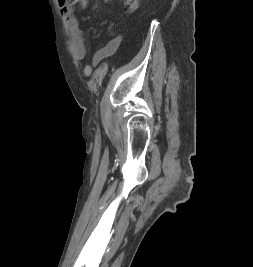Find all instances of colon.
<instances>
[{"mask_svg":"<svg viewBox=\"0 0 253 267\" xmlns=\"http://www.w3.org/2000/svg\"><path fill=\"white\" fill-rule=\"evenodd\" d=\"M79 0H59L61 7H71L75 5ZM125 9L127 11H133L137 8L138 0H124Z\"/></svg>","mask_w":253,"mask_h":267,"instance_id":"obj_1","label":"colon"}]
</instances>
